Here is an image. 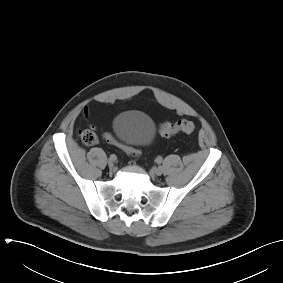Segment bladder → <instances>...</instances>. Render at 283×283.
I'll list each match as a JSON object with an SVG mask.
<instances>
[{
  "label": "bladder",
  "mask_w": 283,
  "mask_h": 283,
  "mask_svg": "<svg viewBox=\"0 0 283 283\" xmlns=\"http://www.w3.org/2000/svg\"><path fill=\"white\" fill-rule=\"evenodd\" d=\"M116 138L129 147H144L155 138L153 120L144 112L129 110L115 116L112 123Z\"/></svg>",
  "instance_id": "obj_1"
}]
</instances>
